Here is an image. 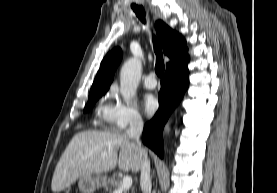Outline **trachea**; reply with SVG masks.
Instances as JSON below:
<instances>
[{
  "label": "trachea",
  "instance_id": "obj_1",
  "mask_svg": "<svg viewBox=\"0 0 277 193\" xmlns=\"http://www.w3.org/2000/svg\"><path fill=\"white\" fill-rule=\"evenodd\" d=\"M133 11L136 13L138 18L145 24V11L142 6H132ZM153 44H154V51L156 54V65H155V72L158 76H162L164 73V60L161 46L155 36H153Z\"/></svg>",
  "mask_w": 277,
  "mask_h": 193
}]
</instances>
